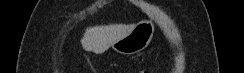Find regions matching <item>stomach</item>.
<instances>
[{
	"instance_id": "obj_1",
	"label": "stomach",
	"mask_w": 244,
	"mask_h": 73,
	"mask_svg": "<svg viewBox=\"0 0 244 73\" xmlns=\"http://www.w3.org/2000/svg\"><path fill=\"white\" fill-rule=\"evenodd\" d=\"M154 29L151 20L140 21L129 34L114 42L111 47L114 51L123 55L139 53L151 42Z\"/></svg>"
}]
</instances>
